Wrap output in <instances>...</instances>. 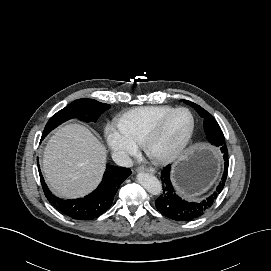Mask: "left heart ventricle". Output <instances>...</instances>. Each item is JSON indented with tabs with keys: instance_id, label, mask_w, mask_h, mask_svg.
I'll return each mask as SVG.
<instances>
[{
	"instance_id": "b2bd125f",
	"label": "left heart ventricle",
	"mask_w": 271,
	"mask_h": 271,
	"mask_svg": "<svg viewBox=\"0 0 271 271\" xmlns=\"http://www.w3.org/2000/svg\"><path fill=\"white\" fill-rule=\"evenodd\" d=\"M191 129V117L187 112L176 113L166 125L162 135L153 145L155 152H165L181 144Z\"/></svg>"
}]
</instances>
